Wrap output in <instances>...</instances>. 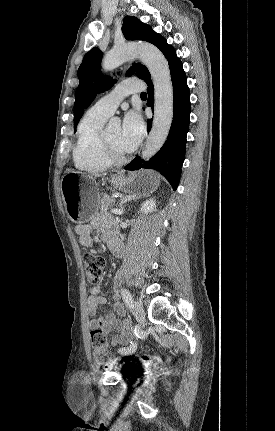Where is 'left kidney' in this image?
<instances>
[{
	"label": "left kidney",
	"mask_w": 275,
	"mask_h": 431,
	"mask_svg": "<svg viewBox=\"0 0 275 431\" xmlns=\"http://www.w3.org/2000/svg\"><path fill=\"white\" fill-rule=\"evenodd\" d=\"M156 210V203L154 199H149L143 202L142 207L140 209L141 212L148 214L149 212H153Z\"/></svg>",
	"instance_id": "left-kidney-1"
}]
</instances>
